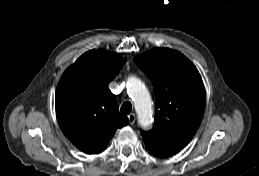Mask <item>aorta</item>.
Returning <instances> with one entry per match:
<instances>
[{"mask_svg":"<svg viewBox=\"0 0 259 176\" xmlns=\"http://www.w3.org/2000/svg\"><path fill=\"white\" fill-rule=\"evenodd\" d=\"M128 92L131 94L136 112L139 117V124L142 127H148L152 123V102L150 95L143 82L132 77L129 80Z\"/></svg>","mask_w":259,"mask_h":176,"instance_id":"aorta-1","label":"aorta"}]
</instances>
